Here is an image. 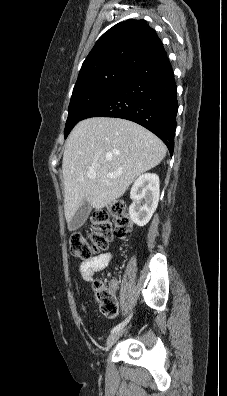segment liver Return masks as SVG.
<instances>
[{"mask_svg": "<svg viewBox=\"0 0 227 396\" xmlns=\"http://www.w3.org/2000/svg\"><path fill=\"white\" fill-rule=\"evenodd\" d=\"M165 155V144L132 121L114 117L80 121L66 141L62 160L67 223L84 200L97 210L115 202ZM89 171L96 177L89 178Z\"/></svg>", "mask_w": 227, "mask_h": 396, "instance_id": "liver-1", "label": "liver"}]
</instances>
